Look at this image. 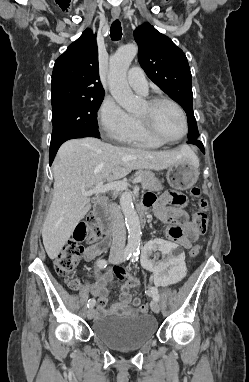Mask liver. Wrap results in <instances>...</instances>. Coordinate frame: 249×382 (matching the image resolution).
<instances>
[{
  "label": "liver",
  "mask_w": 249,
  "mask_h": 382,
  "mask_svg": "<svg viewBox=\"0 0 249 382\" xmlns=\"http://www.w3.org/2000/svg\"><path fill=\"white\" fill-rule=\"evenodd\" d=\"M188 158H195L188 146L154 152L117 147L93 137L66 141L53 164V199L42 226L49 258L59 255L77 224L91 209L90 198L82 191L123 178L135 169L159 171Z\"/></svg>",
  "instance_id": "1"
}]
</instances>
